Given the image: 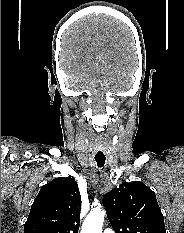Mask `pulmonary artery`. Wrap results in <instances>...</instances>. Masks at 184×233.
<instances>
[{
	"label": "pulmonary artery",
	"instance_id": "e3ab8cb5",
	"mask_svg": "<svg viewBox=\"0 0 184 233\" xmlns=\"http://www.w3.org/2000/svg\"><path fill=\"white\" fill-rule=\"evenodd\" d=\"M103 233H115L112 229L106 228Z\"/></svg>",
	"mask_w": 184,
	"mask_h": 233
}]
</instances>
